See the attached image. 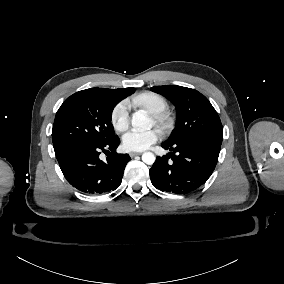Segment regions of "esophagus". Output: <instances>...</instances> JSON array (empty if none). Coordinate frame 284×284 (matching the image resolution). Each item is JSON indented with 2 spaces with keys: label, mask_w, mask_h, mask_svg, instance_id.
<instances>
[{
  "label": "esophagus",
  "mask_w": 284,
  "mask_h": 284,
  "mask_svg": "<svg viewBox=\"0 0 284 284\" xmlns=\"http://www.w3.org/2000/svg\"><path fill=\"white\" fill-rule=\"evenodd\" d=\"M142 153L141 152H130V157L133 158L137 155H141Z\"/></svg>",
  "instance_id": "obj_1"
}]
</instances>
